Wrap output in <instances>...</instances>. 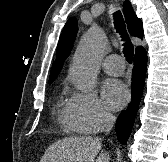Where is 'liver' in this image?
<instances>
[{"label": "liver", "mask_w": 168, "mask_h": 162, "mask_svg": "<svg viewBox=\"0 0 168 162\" xmlns=\"http://www.w3.org/2000/svg\"><path fill=\"white\" fill-rule=\"evenodd\" d=\"M101 147L98 137H68L50 145L40 162H109L108 152L99 154Z\"/></svg>", "instance_id": "liver-1"}]
</instances>
